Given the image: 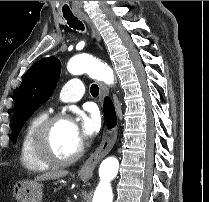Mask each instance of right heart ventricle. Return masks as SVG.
I'll return each mask as SVG.
<instances>
[{"mask_svg":"<svg viewBox=\"0 0 209 202\" xmlns=\"http://www.w3.org/2000/svg\"><path fill=\"white\" fill-rule=\"evenodd\" d=\"M47 118L46 113L38 114L32 117L25 125L19 148V159L21 164L28 170L31 171H43L48 168L47 165L43 164L33 153L32 140L34 133L41 122Z\"/></svg>","mask_w":209,"mask_h":202,"instance_id":"right-heart-ventricle-1","label":"right heart ventricle"}]
</instances>
